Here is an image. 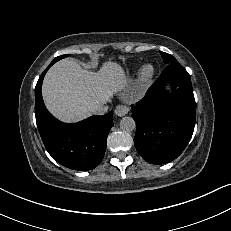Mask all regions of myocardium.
Wrapping results in <instances>:
<instances>
[{
    "mask_svg": "<svg viewBox=\"0 0 231 231\" xmlns=\"http://www.w3.org/2000/svg\"><path fill=\"white\" fill-rule=\"evenodd\" d=\"M155 70L151 65H145L139 73V83L141 85L148 84L154 77Z\"/></svg>",
    "mask_w": 231,
    "mask_h": 231,
    "instance_id": "f54148a6",
    "label": "myocardium"
}]
</instances>
